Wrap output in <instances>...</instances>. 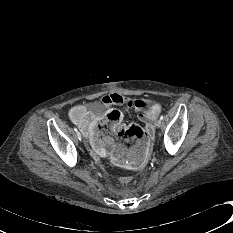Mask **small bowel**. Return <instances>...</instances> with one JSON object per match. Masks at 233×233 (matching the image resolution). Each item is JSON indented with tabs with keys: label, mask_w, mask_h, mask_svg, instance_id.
<instances>
[{
	"label": "small bowel",
	"mask_w": 233,
	"mask_h": 233,
	"mask_svg": "<svg viewBox=\"0 0 233 233\" xmlns=\"http://www.w3.org/2000/svg\"><path fill=\"white\" fill-rule=\"evenodd\" d=\"M112 106H124L135 109L138 118L142 121L148 132L152 130V124L161 112V105L148 98L133 99L117 93L103 96L101 100L93 103L89 110L79 112L74 122L88 138L95 154L127 169L139 170L143 167L147 158L150 142L144 136L137 137L134 142L126 144L120 139L112 138L104 129L110 126L115 134H118L123 115ZM109 108L104 114L103 108ZM107 117H109L107 119Z\"/></svg>",
	"instance_id": "1"
}]
</instances>
